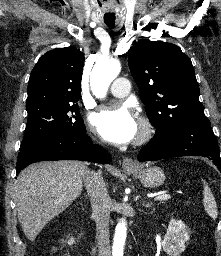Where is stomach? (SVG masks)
Returning <instances> with one entry per match:
<instances>
[{
	"label": "stomach",
	"mask_w": 221,
	"mask_h": 256,
	"mask_svg": "<svg viewBox=\"0 0 221 256\" xmlns=\"http://www.w3.org/2000/svg\"><path fill=\"white\" fill-rule=\"evenodd\" d=\"M126 171L138 178L145 187H159L165 181L164 172L159 167H145L144 165H139L134 168H126Z\"/></svg>",
	"instance_id": "0dacf381"
}]
</instances>
